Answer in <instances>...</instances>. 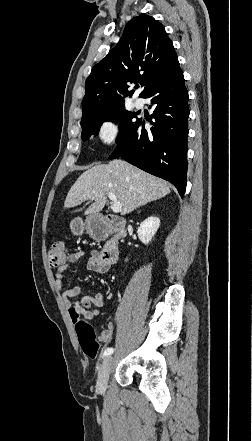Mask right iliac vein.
Returning <instances> with one entry per match:
<instances>
[{"instance_id":"right-iliac-vein-1","label":"right iliac vein","mask_w":252,"mask_h":441,"mask_svg":"<svg viewBox=\"0 0 252 441\" xmlns=\"http://www.w3.org/2000/svg\"><path fill=\"white\" fill-rule=\"evenodd\" d=\"M112 364H113V358L111 356H106L103 359L102 365L99 369L98 377H97V390L101 394H103L106 390L107 380Z\"/></svg>"}]
</instances>
